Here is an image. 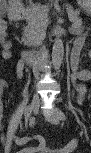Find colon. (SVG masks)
I'll return each instance as SVG.
<instances>
[{
    "instance_id": "5ec220e1",
    "label": "colon",
    "mask_w": 91,
    "mask_h": 153,
    "mask_svg": "<svg viewBox=\"0 0 91 153\" xmlns=\"http://www.w3.org/2000/svg\"><path fill=\"white\" fill-rule=\"evenodd\" d=\"M3 28H5V30H6V24H5V23H1V24H0V31H2ZM0 36H1V35H0ZM5 37H6V35H5L4 37L1 36L2 39H4ZM30 149H31V148H30Z\"/></svg>"
}]
</instances>
